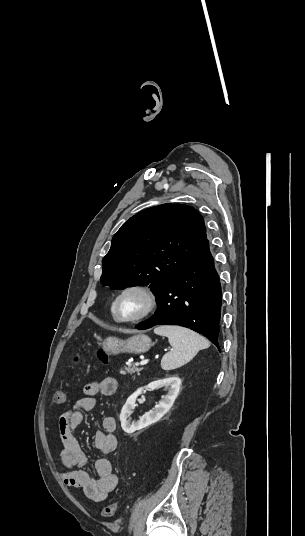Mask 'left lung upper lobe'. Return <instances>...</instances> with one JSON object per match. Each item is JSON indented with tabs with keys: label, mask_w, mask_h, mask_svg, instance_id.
Returning <instances> with one entry per match:
<instances>
[{
	"label": "left lung upper lobe",
	"mask_w": 305,
	"mask_h": 536,
	"mask_svg": "<svg viewBox=\"0 0 305 536\" xmlns=\"http://www.w3.org/2000/svg\"><path fill=\"white\" fill-rule=\"evenodd\" d=\"M203 217L193 207L163 204L125 222L103 258L101 283L113 289L149 285L157 294L207 245Z\"/></svg>",
	"instance_id": "left-lung-upper-lobe-1"
}]
</instances>
